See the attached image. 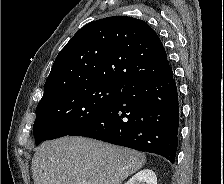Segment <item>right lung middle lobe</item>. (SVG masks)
I'll return each instance as SVG.
<instances>
[{
    "mask_svg": "<svg viewBox=\"0 0 224 184\" xmlns=\"http://www.w3.org/2000/svg\"><path fill=\"white\" fill-rule=\"evenodd\" d=\"M124 86L108 82L80 83L40 101L33 126L36 145L69 135L91 121L117 99Z\"/></svg>",
    "mask_w": 224,
    "mask_h": 184,
    "instance_id": "obj_1",
    "label": "right lung middle lobe"
}]
</instances>
